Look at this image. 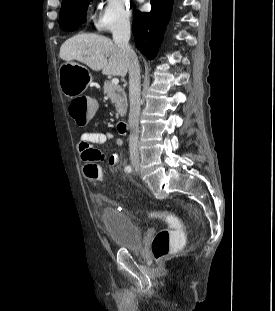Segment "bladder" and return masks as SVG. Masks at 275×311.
Returning <instances> with one entry per match:
<instances>
[{
	"label": "bladder",
	"instance_id": "1",
	"mask_svg": "<svg viewBox=\"0 0 275 311\" xmlns=\"http://www.w3.org/2000/svg\"><path fill=\"white\" fill-rule=\"evenodd\" d=\"M100 218L114 247L125 249L142 247L143 232L128 214L102 208Z\"/></svg>",
	"mask_w": 275,
	"mask_h": 311
}]
</instances>
